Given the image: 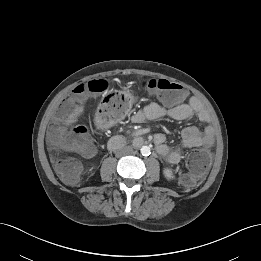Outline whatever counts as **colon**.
Masks as SVG:
<instances>
[{"instance_id": "5ec220e1", "label": "colon", "mask_w": 261, "mask_h": 261, "mask_svg": "<svg viewBox=\"0 0 261 261\" xmlns=\"http://www.w3.org/2000/svg\"><path fill=\"white\" fill-rule=\"evenodd\" d=\"M145 90L156 94L159 99L167 105L178 103L184 99L185 93L177 83L166 79H149L141 84ZM107 82L104 80H91L78 84L73 95H83L86 93H98L104 98V114L102 117L104 124H112L124 117L130 110L129 99L121 92H109ZM72 98L66 101L61 116H65L72 104ZM56 136L60 146L68 151L91 156L95 152V144L90 131L86 126H77L72 131L63 132L58 130ZM211 162V156L206 150L193 151L188 158V173L179 176V181L186 187L194 186L198 179L207 171ZM55 170L60 177L68 184L78 181L82 171L81 163L72 157L57 159L54 164Z\"/></svg>"}]
</instances>
